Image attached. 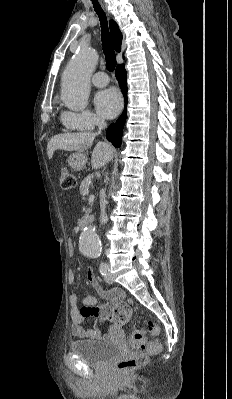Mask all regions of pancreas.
Here are the masks:
<instances>
[{
  "instance_id": "1",
  "label": "pancreas",
  "mask_w": 232,
  "mask_h": 399,
  "mask_svg": "<svg viewBox=\"0 0 232 399\" xmlns=\"http://www.w3.org/2000/svg\"><path fill=\"white\" fill-rule=\"evenodd\" d=\"M90 186H91L90 178H85V180H82L79 188L80 194H82L83 196L84 192H86V190H89Z\"/></svg>"
}]
</instances>
